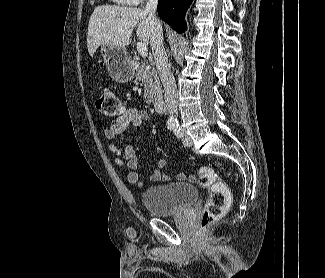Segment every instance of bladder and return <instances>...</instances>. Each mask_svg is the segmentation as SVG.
Wrapping results in <instances>:
<instances>
[{"instance_id":"bladder-1","label":"bladder","mask_w":325,"mask_h":278,"mask_svg":"<svg viewBox=\"0 0 325 278\" xmlns=\"http://www.w3.org/2000/svg\"><path fill=\"white\" fill-rule=\"evenodd\" d=\"M197 197L193 184L173 182L147 188L141 201L151 216L164 217L183 212L196 202Z\"/></svg>"}]
</instances>
